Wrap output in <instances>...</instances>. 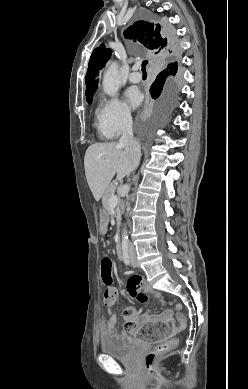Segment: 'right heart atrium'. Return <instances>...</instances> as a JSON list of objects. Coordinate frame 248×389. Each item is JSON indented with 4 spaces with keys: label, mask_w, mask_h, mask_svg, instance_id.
<instances>
[{
    "label": "right heart atrium",
    "mask_w": 248,
    "mask_h": 389,
    "mask_svg": "<svg viewBox=\"0 0 248 389\" xmlns=\"http://www.w3.org/2000/svg\"><path fill=\"white\" fill-rule=\"evenodd\" d=\"M100 112L107 132L116 137L130 128L132 117L130 111L118 98L105 99Z\"/></svg>",
    "instance_id": "1"
}]
</instances>
